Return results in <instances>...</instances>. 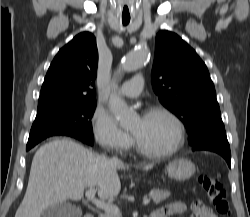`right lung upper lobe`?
Returning a JSON list of instances; mask_svg holds the SVG:
<instances>
[{"mask_svg": "<svg viewBox=\"0 0 250 217\" xmlns=\"http://www.w3.org/2000/svg\"><path fill=\"white\" fill-rule=\"evenodd\" d=\"M98 51L89 32L74 37L59 50L44 79L37 111L96 101Z\"/></svg>", "mask_w": 250, "mask_h": 217, "instance_id": "right-lung-upper-lobe-1", "label": "right lung upper lobe"}]
</instances>
